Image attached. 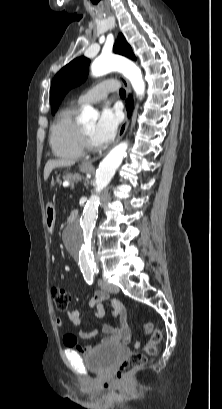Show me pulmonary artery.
I'll return each mask as SVG.
<instances>
[{"label":"pulmonary artery","instance_id":"e3ab8cb5","mask_svg":"<svg viewBox=\"0 0 222 409\" xmlns=\"http://www.w3.org/2000/svg\"><path fill=\"white\" fill-rule=\"evenodd\" d=\"M117 89V83L105 80L88 89L79 98L77 103L79 105L95 104L104 100L107 95Z\"/></svg>","mask_w":222,"mask_h":409}]
</instances>
